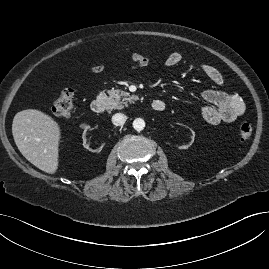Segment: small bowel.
<instances>
[{
  "label": "small bowel",
  "instance_id": "obj_1",
  "mask_svg": "<svg viewBox=\"0 0 269 269\" xmlns=\"http://www.w3.org/2000/svg\"><path fill=\"white\" fill-rule=\"evenodd\" d=\"M153 61V57L143 53H133L130 57L132 67H144ZM182 61L179 53H170L166 58L168 67H175ZM201 71L215 84L222 85L224 78L222 73L213 65L201 64ZM104 70L103 65H96L91 68L92 73H100ZM205 102L201 109L202 119L211 125L220 123H231L237 120L246 109L244 100L237 94L220 90H205L201 93Z\"/></svg>",
  "mask_w": 269,
  "mask_h": 269
}]
</instances>
